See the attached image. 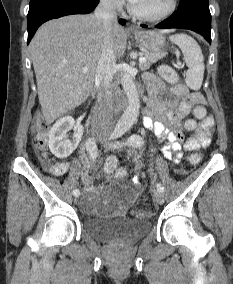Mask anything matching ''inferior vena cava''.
Wrapping results in <instances>:
<instances>
[{"label":"inferior vena cava","instance_id":"602c4592","mask_svg":"<svg viewBox=\"0 0 233 284\" xmlns=\"http://www.w3.org/2000/svg\"><path fill=\"white\" fill-rule=\"evenodd\" d=\"M94 16L102 21L106 30V38L109 39L112 25L117 24V12L115 0H100L95 9ZM116 57L111 49L109 41L105 42V48L97 65L95 83L98 89V97L93 109L92 127L102 133H110L113 130V92L116 88L111 86L115 69Z\"/></svg>","mask_w":233,"mask_h":284}]
</instances>
